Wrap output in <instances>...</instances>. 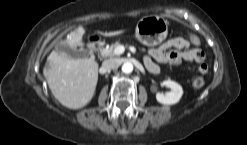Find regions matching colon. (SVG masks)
I'll use <instances>...</instances> for the list:
<instances>
[{"label":"colon","mask_w":247,"mask_h":145,"mask_svg":"<svg viewBox=\"0 0 247 145\" xmlns=\"http://www.w3.org/2000/svg\"><path fill=\"white\" fill-rule=\"evenodd\" d=\"M208 69H209V67H208L207 64H202V65H200V67H199V71H200L201 74H206V73L208 72ZM204 84H205V79H204V77H202V76L196 77V78L192 81V86H193L194 88H201V87L204 86Z\"/></svg>","instance_id":"5ec220e1"}]
</instances>
